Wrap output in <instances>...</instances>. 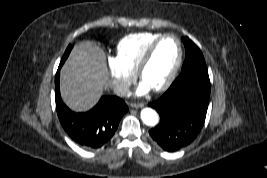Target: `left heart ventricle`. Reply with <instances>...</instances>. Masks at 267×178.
<instances>
[{
    "label": "left heart ventricle",
    "instance_id": "left-heart-ventricle-1",
    "mask_svg": "<svg viewBox=\"0 0 267 178\" xmlns=\"http://www.w3.org/2000/svg\"><path fill=\"white\" fill-rule=\"evenodd\" d=\"M178 57V44L172 37L165 38L155 49L143 71L142 81L151 89L162 84L170 74Z\"/></svg>",
    "mask_w": 267,
    "mask_h": 178
}]
</instances>
